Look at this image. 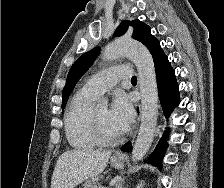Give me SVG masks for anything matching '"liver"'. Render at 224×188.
Listing matches in <instances>:
<instances>
[{
  "label": "liver",
  "mask_w": 224,
  "mask_h": 188,
  "mask_svg": "<svg viewBox=\"0 0 224 188\" xmlns=\"http://www.w3.org/2000/svg\"><path fill=\"white\" fill-rule=\"evenodd\" d=\"M111 151L69 150L60 155L53 171L51 188H74L99 175L107 166Z\"/></svg>",
  "instance_id": "1"
}]
</instances>
